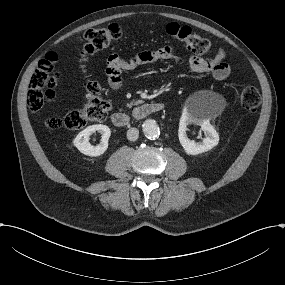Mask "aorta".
Returning <instances> with one entry per match:
<instances>
[{"label":"aorta","instance_id":"aorta-1","mask_svg":"<svg viewBox=\"0 0 285 285\" xmlns=\"http://www.w3.org/2000/svg\"><path fill=\"white\" fill-rule=\"evenodd\" d=\"M143 133L148 139H154L159 136L160 129L155 120L147 119L142 126Z\"/></svg>","mask_w":285,"mask_h":285}]
</instances>
